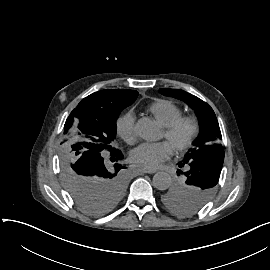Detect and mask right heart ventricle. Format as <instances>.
Returning a JSON list of instances; mask_svg holds the SVG:
<instances>
[{
    "label": "right heart ventricle",
    "instance_id": "obj_1",
    "mask_svg": "<svg viewBox=\"0 0 270 270\" xmlns=\"http://www.w3.org/2000/svg\"><path fill=\"white\" fill-rule=\"evenodd\" d=\"M162 127H170L183 116V110L173 102L165 99L155 100L148 108Z\"/></svg>",
    "mask_w": 270,
    "mask_h": 270
}]
</instances>
